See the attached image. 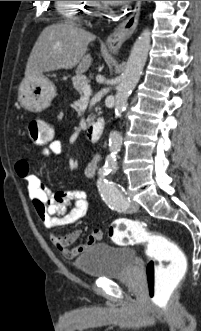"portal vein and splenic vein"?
<instances>
[{
	"mask_svg": "<svg viewBox=\"0 0 201 331\" xmlns=\"http://www.w3.org/2000/svg\"><path fill=\"white\" fill-rule=\"evenodd\" d=\"M83 94L85 98H89L92 94V89L90 85H86L83 88Z\"/></svg>",
	"mask_w": 201,
	"mask_h": 331,
	"instance_id": "obj_1",
	"label": "portal vein and splenic vein"
}]
</instances>
